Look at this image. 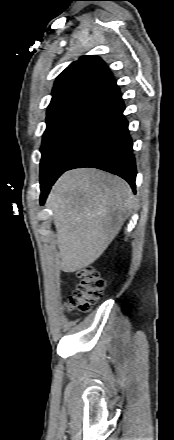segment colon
<instances>
[{
  "instance_id": "5ec220e1",
  "label": "colon",
  "mask_w": 174,
  "mask_h": 440,
  "mask_svg": "<svg viewBox=\"0 0 174 440\" xmlns=\"http://www.w3.org/2000/svg\"><path fill=\"white\" fill-rule=\"evenodd\" d=\"M79 279L78 286L67 302L69 311L87 312L92 304L101 297L104 281L99 272L92 266H86L75 271Z\"/></svg>"
}]
</instances>
